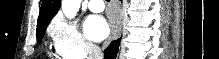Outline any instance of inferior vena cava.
<instances>
[{"label":"inferior vena cava","mask_w":219,"mask_h":59,"mask_svg":"<svg viewBox=\"0 0 219 59\" xmlns=\"http://www.w3.org/2000/svg\"><path fill=\"white\" fill-rule=\"evenodd\" d=\"M86 51H87V59H103V53L101 49L92 43H87L86 45Z\"/></svg>","instance_id":"602c4592"}]
</instances>
